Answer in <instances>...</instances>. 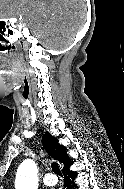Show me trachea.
<instances>
[{"instance_id": "obj_1", "label": "trachea", "mask_w": 124, "mask_h": 189, "mask_svg": "<svg viewBox=\"0 0 124 189\" xmlns=\"http://www.w3.org/2000/svg\"><path fill=\"white\" fill-rule=\"evenodd\" d=\"M52 171L55 174H57L59 176H62V172H61L60 167H59V165L57 163H52Z\"/></svg>"}]
</instances>
